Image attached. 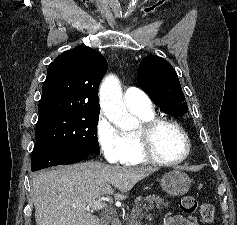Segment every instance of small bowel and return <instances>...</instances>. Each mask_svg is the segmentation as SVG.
Wrapping results in <instances>:
<instances>
[{"instance_id": "small-bowel-1", "label": "small bowel", "mask_w": 237, "mask_h": 225, "mask_svg": "<svg viewBox=\"0 0 237 225\" xmlns=\"http://www.w3.org/2000/svg\"><path fill=\"white\" fill-rule=\"evenodd\" d=\"M164 225H200L199 222L192 218H187L181 215L168 217Z\"/></svg>"}]
</instances>
